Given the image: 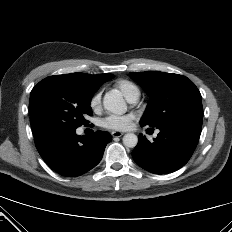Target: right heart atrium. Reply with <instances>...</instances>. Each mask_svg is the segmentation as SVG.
Here are the masks:
<instances>
[{
    "label": "right heart atrium",
    "instance_id": "1",
    "mask_svg": "<svg viewBox=\"0 0 232 232\" xmlns=\"http://www.w3.org/2000/svg\"><path fill=\"white\" fill-rule=\"evenodd\" d=\"M101 103V94L95 93L89 100V106L93 111H96Z\"/></svg>",
    "mask_w": 232,
    "mask_h": 232
}]
</instances>
